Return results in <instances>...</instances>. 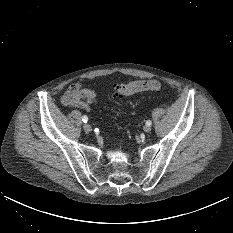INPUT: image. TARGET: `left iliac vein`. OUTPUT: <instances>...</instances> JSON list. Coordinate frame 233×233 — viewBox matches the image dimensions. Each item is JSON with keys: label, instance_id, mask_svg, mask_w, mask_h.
I'll return each instance as SVG.
<instances>
[{"label": "left iliac vein", "instance_id": "4c4485c4", "mask_svg": "<svg viewBox=\"0 0 233 233\" xmlns=\"http://www.w3.org/2000/svg\"><path fill=\"white\" fill-rule=\"evenodd\" d=\"M144 131H145L146 133H149V132L151 131V127L146 125V126L144 127Z\"/></svg>", "mask_w": 233, "mask_h": 233}]
</instances>
